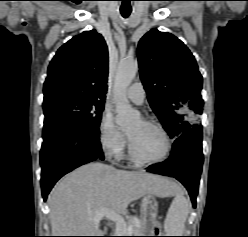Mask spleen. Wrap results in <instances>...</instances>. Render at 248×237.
I'll use <instances>...</instances> for the list:
<instances>
[{"label":"spleen","instance_id":"obj_1","mask_svg":"<svg viewBox=\"0 0 248 237\" xmlns=\"http://www.w3.org/2000/svg\"><path fill=\"white\" fill-rule=\"evenodd\" d=\"M189 213V203L183 193L176 192L164 222L166 236H182Z\"/></svg>","mask_w":248,"mask_h":237}]
</instances>
